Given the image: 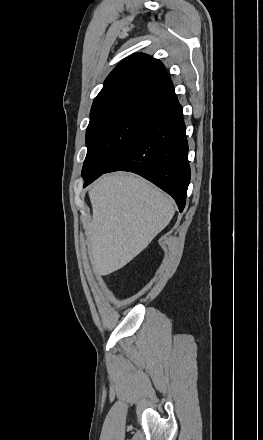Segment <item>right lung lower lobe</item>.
Returning a JSON list of instances; mask_svg holds the SVG:
<instances>
[{
  "instance_id": "obj_1",
  "label": "right lung lower lobe",
  "mask_w": 263,
  "mask_h": 440,
  "mask_svg": "<svg viewBox=\"0 0 263 440\" xmlns=\"http://www.w3.org/2000/svg\"><path fill=\"white\" fill-rule=\"evenodd\" d=\"M187 155L182 107L173 94L157 106L148 123L113 158L104 173H137L170 194L182 212L191 174ZM98 177L86 180L84 187Z\"/></svg>"
}]
</instances>
